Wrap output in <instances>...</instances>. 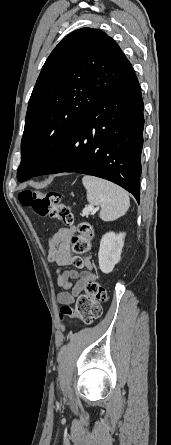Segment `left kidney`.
Masks as SVG:
<instances>
[{
  "label": "left kidney",
  "instance_id": "obj_1",
  "mask_svg": "<svg viewBox=\"0 0 171 445\" xmlns=\"http://www.w3.org/2000/svg\"><path fill=\"white\" fill-rule=\"evenodd\" d=\"M125 233H106L101 241L98 252L99 267L103 273L113 271L115 265L121 259V252L124 245Z\"/></svg>",
  "mask_w": 171,
  "mask_h": 445
}]
</instances>
